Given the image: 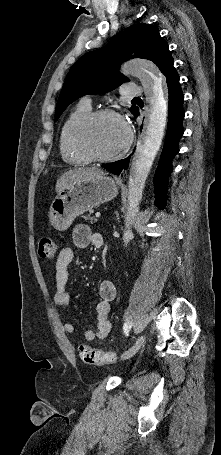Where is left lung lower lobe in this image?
Masks as SVG:
<instances>
[{"label": "left lung lower lobe", "instance_id": "0a47b994", "mask_svg": "<svg viewBox=\"0 0 221 455\" xmlns=\"http://www.w3.org/2000/svg\"><path fill=\"white\" fill-rule=\"evenodd\" d=\"M163 74L166 76L169 94L168 124L163 151L153 178L156 198L155 204L158 205L160 209L165 208L166 205L168 178L173 170L172 159L179 152L178 142L184 133L182 127V121L184 119V95L181 91L179 75L173 65ZM138 113L139 109L135 112L134 116L137 117ZM129 159L130 157L109 163L104 167L113 174L118 175L123 168L127 169Z\"/></svg>", "mask_w": 221, "mask_h": 455}]
</instances>
